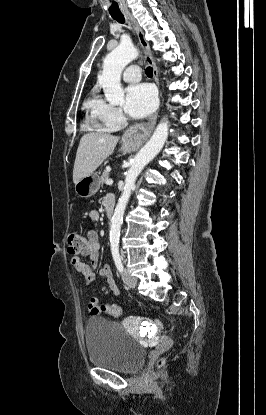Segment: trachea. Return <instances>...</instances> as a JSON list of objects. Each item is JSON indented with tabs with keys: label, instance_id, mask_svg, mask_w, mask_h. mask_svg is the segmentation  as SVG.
Here are the masks:
<instances>
[{
	"label": "trachea",
	"instance_id": "obj_1",
	"mask_svg": "<svg viewBox=\"0 0 266 415\" xmlns=\"http://www.w3.org/2000/svg\"><path fill=\"white\" fill-rule=\"evenodd\" d=\"M112 18L114 20H116L117 22H119V23H125V19H124V16L123 15L112 16ZM145 72H146V75L148 77H152L153 76V68L152 67H147V69H146Z\"/></svg>",
	"mask_w": 266,
	"mask_h": 415
}]
</instances>
